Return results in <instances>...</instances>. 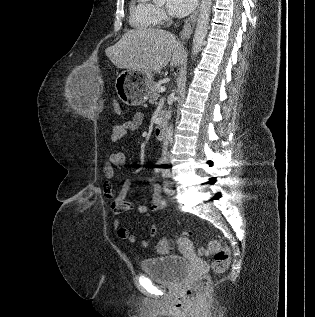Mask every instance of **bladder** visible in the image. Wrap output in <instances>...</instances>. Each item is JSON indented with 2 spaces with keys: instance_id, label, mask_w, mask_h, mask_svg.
Instances as JSON below:
<instances>
[{
  "instance_id": "1",
  "label": "bladder",
  "mask_w": 315,
  "mask_h": 317,
  "mask_svg": "<svg viewBox=\"0 0 315 317\" xmlns=\"http://www.w3.org/2000/svg\"><path fill=\"white\" fill-rule=\"evenodd\" d=\"M141 268L155 281L166 286H176L187 276L189 262L181 256L168 255L144 259Z\"/></svg>"
}]
</instances>
